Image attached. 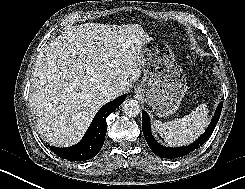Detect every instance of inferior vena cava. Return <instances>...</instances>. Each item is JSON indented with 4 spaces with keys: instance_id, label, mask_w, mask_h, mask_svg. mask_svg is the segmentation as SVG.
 I'll return each instance as SVG.
<instances>
[{
    "instance_id": "obj_1",
    "label": "inferior vena cava",
    "mask_w": 245,
    "mask_h": 189,
    "mask_svg": "<svg viewBox=\"0 0 245 189\" xmlns=\"http://www.w3.org/2000/svg\"><path fill=\"white\" fill-rule=\"evenodd\" d=\"M104 94H105V97L107 99H111L114 94H115V90L113 88H107L105 91H104Z\"/></svg>"
}]
</instances>
